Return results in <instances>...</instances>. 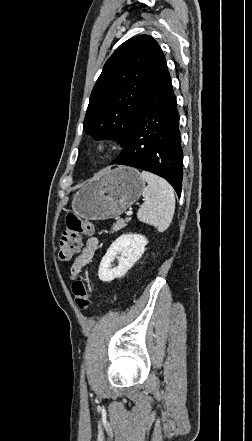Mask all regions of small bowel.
<instances>
[{
	"mask_svg": "<svg viewBox=\"0 0 252 441\" xmlns=\"http://www.w3.org/2000/svg\"><path fill=\"white\" fill-rule=\"evenodd\" d=\"M98 248V239L90 237L84 244L78 256L75 258L71 269V277L78 275L81 270L91 262L96 250Z\"/></svg>",
	"mask_w": 252,
	"mask_h": 441,
	"instance_id": "small-bowel-1",
	"label": "small bowel"
}]
</instances>
